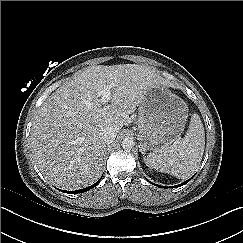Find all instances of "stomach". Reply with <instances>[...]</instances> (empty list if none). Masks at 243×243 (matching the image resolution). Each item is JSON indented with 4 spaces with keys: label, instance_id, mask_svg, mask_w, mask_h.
Here are the masks:
<instances>
[{
    "label": "stomach",
    "instance_id": "obj_1",
    "mask_svg": "<svg viewBox=\"0 0 243 243\" xmlns=\"http://www.w3.org/2000/svg\"><path fill=\"white\" fill-rule=\"evenodd\" d=\"M188 106L163 85L149 89L139 106L138 138L142 150L159 151L183 132Z\"/></svg>",
    "mask_w": 243,
    "mask_h": 243
}]
</instances>
